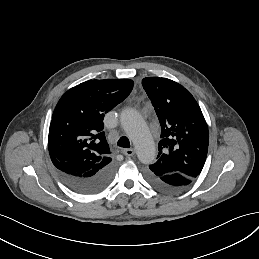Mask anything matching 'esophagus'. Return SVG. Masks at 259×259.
Instances as JSON below:
<instances>
[{"label": "esophagus", "mask_w": 259, "mask_h": 259, "mask_svg": "<svg viewBox=\"0 0 259 259\" xmlns=\"http://www.w3.org/2000/svg\"><path fill=\"white\" fill-rule=\"evenodd\" d=\"M122 153L125 156H133L135 154V150L133 148H127V149H123Z\"/></svg>", "instance_id": "34e87169"}]
</instances>
